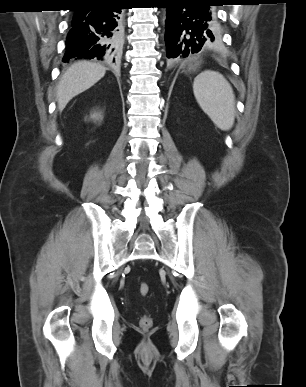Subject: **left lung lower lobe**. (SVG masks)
<instances>
[{
  "label": "left lung lower lobe",
  "instance_id": "0a47b994",
  "mask_svg": "<svg viewBox=\"0 0 306 387\" xmlns=\"http://www.w3.org/2000/svg\"><path fill=\"white\" fill-rule=\"evenodd\" d=\"M166 56L170 64L205 50L215 40L217 0H163Z\"/></svg>",
  "mask_w": 306,
  "mask_h": 387
}]
</instances>
